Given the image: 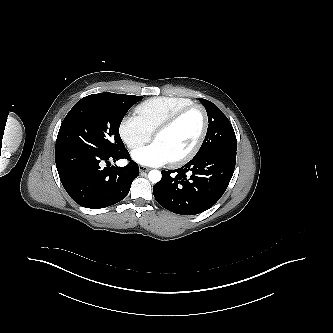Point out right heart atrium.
<instances>
[{
  "mask_svg": "<svg viewBox=\"0 0 333 333\" xmlns=\"http://www.w3.org/2000/svg\"><path fill=\"white\" fill-rule=\"evenodd\" d=\"M119 135L129 149H136L147 143L152 133L137 115H126L119 124Z\"/></svg>",
  "mask_w": 333,
  "mask_h": 333,
  "instance_id": "obj_1",
  "label": "right heart atrium"
}]
</instances>
